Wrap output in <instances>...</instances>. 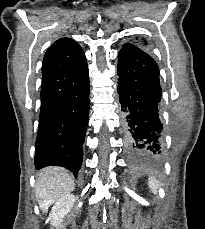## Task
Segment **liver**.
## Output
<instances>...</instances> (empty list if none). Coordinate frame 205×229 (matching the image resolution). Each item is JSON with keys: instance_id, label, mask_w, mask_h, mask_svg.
Here are the masks:
<instances>
[{"instance_id": "6515ba94", "label": "liver", "mask_w": 205, "mask_h": 229, "mask_svg": "<svg viewBox=\"0 0 205 229\" xmlns=\"http://www.w3.org/2000/svg\"><path fill=\"white\" fill-rule=\"evenodd\" d=\"M74 180L71 174L61 167L43 169L36 180L35 194L43 212L74 190Z\"/></svg>"}]
</instances>
